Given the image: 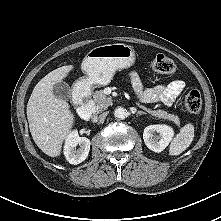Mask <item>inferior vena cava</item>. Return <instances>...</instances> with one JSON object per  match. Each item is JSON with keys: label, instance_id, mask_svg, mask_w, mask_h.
<instances>
[{"label": "inferior vena cava", "instance_id": "obj_1", "mask_svg": "<svg viewBox=\"0 0 221 221\" xmlns=\"http://www.w3.org/2000/svg\"><path fill=\"white\" fill-rule=\"evenodd\" d=\"M106 116H107V113H102L100 116H99V119H100V121H103L105 118H106Z\"/></svg>", "mask_w": 221, "mask_h": 221}]
</instances>
